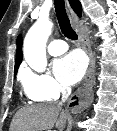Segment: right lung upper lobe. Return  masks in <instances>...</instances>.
<instances>
[{
	"label": "right lung upper lobe",
	"mask_w": 117,
	"mask_h": 131,
	"mask_svg": "<svg viewBox=\"0 0 117 131\" xmlns=\"http://www.w3.org/2000/svg\"><path fill=\"white\" fill-rule=\"evenodd\" d=\"M71 7L74 11L80 16L81 15V3L79 0H69ZM22 62V38L18 36L17 38V50H16V60H15V67H14V74L17 73L18 67Z\"/></svg>",
	"instance_id": "right-lung-upper-lobe-1"
}]
</instances>
